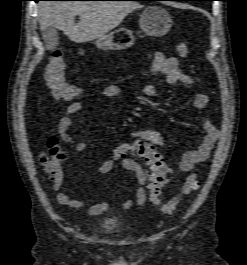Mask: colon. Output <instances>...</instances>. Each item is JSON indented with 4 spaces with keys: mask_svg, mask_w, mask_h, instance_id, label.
<instances>
[{
    "mask_svg": "<svg viewBox=\"0 0 247 265\" xmlns=\"http://www.w3.org/2000/svg\"><path fill=\"white\" fill-rule=\"evenodd\" d=\"M177 52L180 57L186 58L190 52L189 42L181 41L177 45ZM64 70L65 61L63 52L59 49L54 50L45 73L46 85L55 99L79 101L83 97L82 89L66 81ZM129 154H133L143 160L148 167L150 200L153 204L159 206L164 214L172 213L182 198L199 188L197 175L192 173L187 176L176 195L168 202L162 204L160 196L170 171L163 156L154 145L146 142L123 143L113 149L115 159H125ZM44 159L49 167H55L60 162L58 156H51L49 154H44Z\"/></svg>",
    "mask_w": 247,
    "mask_h": 265,
    "instance_id": "5ec220e1",
    "label": "colon"
}]
</instances>
